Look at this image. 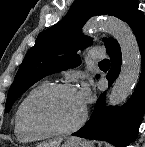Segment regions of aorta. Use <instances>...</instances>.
<instances>
[{
    "label": "aorta",
    "mask_w": 145,
    "mask_h": 147,
    "mask_svg": "<svg viewBox=\"0 0 145 147\" xmlns=\"http://www.w3.org/2000/svg\"><path fill=\"white\" fill-rule=\"evenodd\" d=\"M103 29L119 43L122 54L120 75L114 82L108 96V105L115 106L124 102L137 84L141 72V56L136 37L132 30L115 17L88 22L85 30L92 32Z\"/></svg>",
    "instance_id": "aorta-1"
}]
</instances>
